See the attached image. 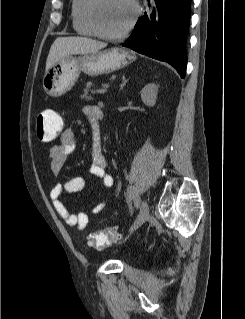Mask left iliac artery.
I'll return each mask as SVG.
<instances>
[{"instance_id": "1", "label": "left iliac artery", "mask_w": 245, "mask_h": 319, "mask_svg": "<svg viewBox=\"0 0 245 319\" xmlns=\"http://www.w3.org/2000/svg\"><path fill=\"white\" fill-rule=\"evenodd\" d=\"M127 193H128L129 199H133V200L137 199L134 186H129L127 189Z\"/></svg>"}]
</instances>
